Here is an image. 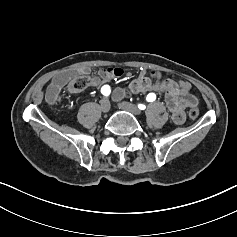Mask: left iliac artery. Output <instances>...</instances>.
I'll list each match as a JSON object with an SVG mask.
<instances>
[{"label":"left iliac artery","mask_w":237,"mask_h":237,"mask_svg":"<svg viewBox=\"0 0 237 237\" xmlns=\"http://www.w3.org/2000/svg\"><path fill=\"white\" fill-rule=\"evenodd\" d=\"M155 99H156V95L154 93H149L146 97V100L148 102H153ZM138 108L141 109V110H144L146 108V106L142 105V104H139Z\"/></svg>","instance_id":"1"}]
</instances>
